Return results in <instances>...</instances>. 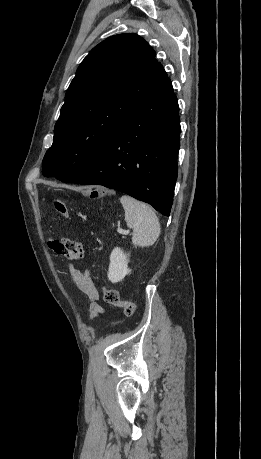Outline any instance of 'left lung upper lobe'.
Returning <instances> with one entry per match:
<instances>
[{
    "label": "left lung upper lobe",
    "instance_id": "left-lung-upper-lobe-1",
    "mask_svg": "<svg viewBox=\"0 0 261 459\" xmlns=\"http://www.w3.org/2000/svg\"><path fill=\"white\" fill-rule=\"evenodd\" d=\"M167 78L140 36H111L78 67L55 125L43 175L61 181L92 163L147 97Z\"/></svg>",
    "mask_w": 261,
    "mask_h": 459
}]
</instances>
